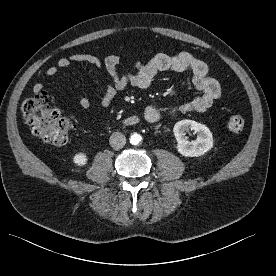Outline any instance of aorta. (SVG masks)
<instances>
[{
    "instance_id": "aorta-1",
    "label": "aorta",
    "mask_w": 276,
    "mask_h": 276,
    "mask_svg": "<svg viewBox=\"0 0 276 276\" xmlns=\"http://www.w3.org/2000/svg\"><path fill=\"white\" fill-rule=\"evenodd\" d=\"M142 141V136L138 133H133L130 136V143L132 145H138Z\"/></svg>"
}]
</instances>
